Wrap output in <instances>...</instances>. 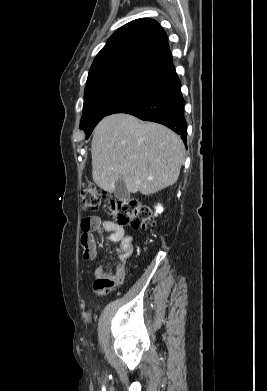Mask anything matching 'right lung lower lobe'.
I'll use <instances>...</instances> for the list:
<instances>
[{
  "mask_svg": "<svg viewBox=\"0 0 267 391\" xmlns=\"http://www.w3.org/2000/svg\"><path fill=\"white\" fill-rule=\"evenodd\" d=\"M113 113H128L163 124L180 135L186 144L184 99L173 64L154 73L144 85L114 106L108 115Z\"/></svg>",
  "mask_w": 267,
  "mask_h": 391,
  "instance_id": "obj_1",
  "label": "right lung lower lobe"
}]
</instances>
